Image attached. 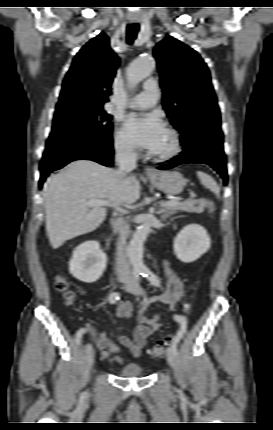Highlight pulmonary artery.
Wrapping results in <instances>:
<instances>
[{
  "label": "pulmonary artery",
  "mask_w": 273,
  "mask_h": 430,
  "mask_svg": "<svg viewBox=\"0 0 273 430\" xmlns=\"http://www.w3.org/2000/svg\"><path fill=\"white\" fill-rule=\"evenodd\" d=\"M158 99V84L154 79H148L144 84L143 91L133 98L132 105L137 108L147 109L155 106Z\"/></svg>",
  "instance_id": "pulmonary-artery-1"
}]
</instances>
